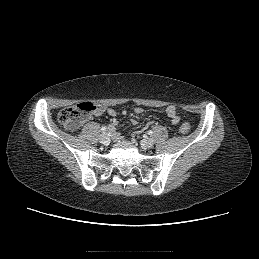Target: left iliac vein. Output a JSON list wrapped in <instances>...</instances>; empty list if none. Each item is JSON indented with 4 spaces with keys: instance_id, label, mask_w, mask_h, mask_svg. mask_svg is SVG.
I'll list each match as a JSON object with an SVG mask.
<instances>
[{
    "instance_id": "left-iliac-vein-1",
    "label": "left iliac vein",
    "mask_w": 259,
    "mask_h": 259,
    "mask_svg": "<svg viewBox=\"0 0 259 259\" xmlns=\"http://www.w3.org/2000/svg\"><path fill=\"white\" fill-rule=\"evenodd\" d=\"M141 145L144 148H152L154 145V141L152 138H145L142 140Z\"/></svg>"
}]
</instances>
